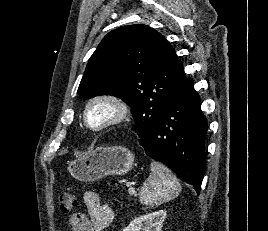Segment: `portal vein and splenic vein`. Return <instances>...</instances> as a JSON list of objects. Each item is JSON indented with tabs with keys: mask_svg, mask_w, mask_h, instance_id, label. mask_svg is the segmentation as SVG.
I'll use <instances>...</instances> for the list:
<instances>
[{
	"mask_svg": "<svg viewBox=\"0 0 268 231\" xmlns=\"http://www.w3.org/2000/svg\"><path fill=\"white\" fill-rule=\"evenodd\" d=\"M127 186L129 187V185L127 184ZM129 192H133V189L131 187H129Z\"/></svg>",
	"mask_w": 268,
	"mask_h": 231,
	"instance_id": "18ae733b",
	"label": "portal vein and splenic vein"
}]
</instances>
